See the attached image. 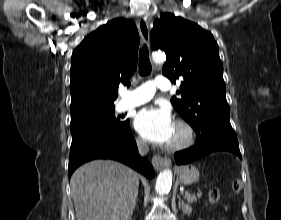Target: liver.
Segmentation results:
<instances>
[{
	"instance_id": "liver-1",
	"label": "liver",
	"mask_w": 281,
	"mask_h": 220,
	"mask_svg": "<svg viewBox=\"0 0 281 220\" xmlns=\"http://www.w3.org/2000/svg\"><path fill=\"white\" fill-rule=\"evenodd\" d=\"M70 186L77 220H131L139 177L129 167L94 160L73 173Z\"/></svg>"
}]
</instances>
